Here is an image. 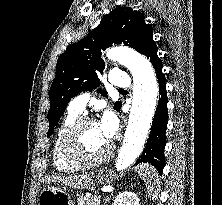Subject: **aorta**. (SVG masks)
Listing matches in <instances>:
<instances>
[{
    "label": "aorta",
    "mask_w": 222,
    "mask_h": 205,
    "mask_svg": "<svg viewBox=\"0 0 222 205\" xmlns=\"http://www.w3.org/2000/svg\"><path fill=\"white\" fill-rule=\"evenodd\" d=\"M125 65L134 78L133 100L122 145L115 161L117 171L132 165L142 154L157 107L159 88L151 62L128 47H114L107 51Z\"/></svg>",
    "instance_id": "1"
}]
</instances>
